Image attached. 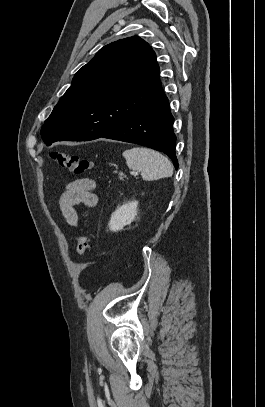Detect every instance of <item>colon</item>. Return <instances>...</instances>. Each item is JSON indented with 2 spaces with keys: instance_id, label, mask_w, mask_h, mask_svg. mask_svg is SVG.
I'll return each mask as SVG.
<instances>
[{
  "instance_id": "5ec220e1",
  "label": "colon",
  "mask_w": 265,
  "mask_h": 407,
  "mask_svg": "<svg viewBox=\"0 0 265 407\" xmlns=\"http://www.w3.org/2000/svg\"><path fill=\"white\" fill-rule=\"evenodd\" d=\"M52 160L60 167L67 168L76 174H82L93 167L92 161L81 158L78 155L64 151L55 150L50 154ZM91 239L87 233L78 236L76 244V254L82 257L90 248Z\"/></svg>"
}]
</instances>
